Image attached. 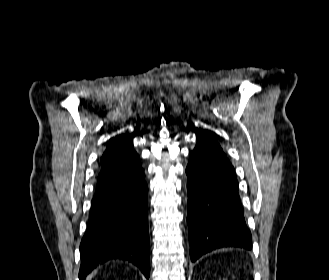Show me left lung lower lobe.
I'll list each match as a JSON object with an SVG mask.
<instances>
[{
  "mask_svg": "<svg viewBox=\"0 0 329 280\" xmlns=\"http://www.w3.org/2000/svg\"><path fill=\"white\" fill-rule=\"evenodd\" d=\"M203 159L206 164L189 161L186 168L187 222L193 262L218 248L252 249L233 166L222 150L207 152Z\"/></svg>",
  "mask_w": 329,
  "mask_h": 280,
  "instance_id": "1",
  "label": "left lung lower lobe"
}]
</instances>
